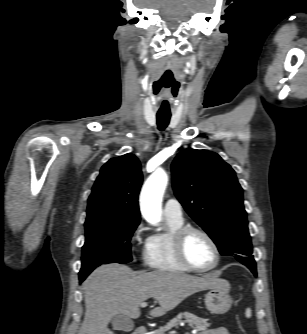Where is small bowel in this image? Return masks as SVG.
<instances>
[{
  "label": "small bowel",
  "mask_w": 307,
  "mask_h": 334,
  "mask_svg": "<svg viewBox=\"0 0 307 334\" xmlns=\"http://www.w3.org/2000/svg\"><path fill=\"white\" fill-rule=\"evenodd\" d=\"M202 334H229V331L225 327H218L215 329L208 330Z\"/></svg>",
  "instance_id": "c3829d8e"
}]
</instances>
